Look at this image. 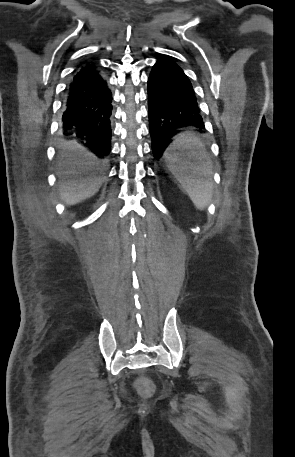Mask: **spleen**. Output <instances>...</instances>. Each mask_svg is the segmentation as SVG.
Returning <instances> with one entry per match:
<instances>
[{"label": "spleen", "mask_w": 295, "mask_h": 457, "mask_svg": "<svg viewBox=\"0 0 295 457\" xmlns=\"http://www.w3.org/2000/svg\"><path fill=\"white\" fill-rule=\"evenodd\" d=\"M164 158L196 208H206L213 195V186L206 173L208 163L203 145L196 134L180 133Z\"/></svg>", "instance_id": "1"}]
</instances>
